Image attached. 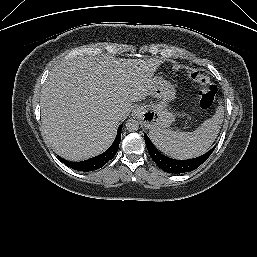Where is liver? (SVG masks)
<instances>
[{
    "label": "liver",
    "instance_id": "1",
    "mask_svg": "<svg viewBox=\"0 0 257 257\" xmlns=\"http://www.w3.org/2000/svg\"><path fill=\"white\" fill-rule=\"evenodd\" d=\"M161 63L156 58L77 56L57 64L40 100L44 137L54 152L81 161L105 151L132 102L150 95L151 79Z\"/></svg>",
    "mask_w": 257,
    "mask_h": 257
}]
</instances>
